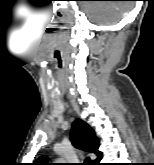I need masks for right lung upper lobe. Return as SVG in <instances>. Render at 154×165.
I'll list each match as a JSON object with an SVG mask.
<instances>
[{"mask_svg": "<svg viewBox=\"0 0 154 165\" xmlns=\"http://www.w3.org/2000/svg\"><path fill=\"white\" fill-rule=\"evenodd\" d=\"M71 141L74 146L90 153L98 154L99 139L94 130L83 120H76L72 124ZM33 165H52L46 156L39 157Z\"/></svg>", "mask_w": 154, "mask_h": 165, "instance_id": "1", "label": "right lung upper lobe"}]
</instances>
